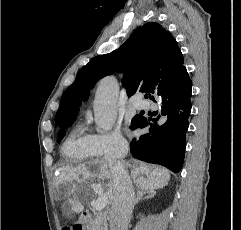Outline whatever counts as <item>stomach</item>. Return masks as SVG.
Instances as JSON below:
<instances>
[{
	"label": "stomach",
	"mask_w": 241,
	"mask_h": 230,
	"mask_svg": "<svg viewBox=\"0 0 241 230\" xmlns=\"http://www.w3.org/2000/svg\"><path fill=\"white\" fill-rule=\"evenodd\" d=\"M76 225L80 230H90L88 221L83 218H80Z\"/></svg>",
	"instance_id": "0dacf381"
}]
</instances>
